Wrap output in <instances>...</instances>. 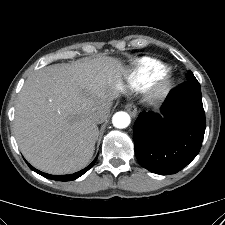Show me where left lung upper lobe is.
I'll list each match as a JSON object with an SVG mask.
<instances>
[{"label":"left lung upper lobe","mask_w":225,"mask_h":225,"mask_svg":"<svg viewBox=\"0 0 225 225\" xmlns=\"http://www.w3.org/2000/svg\"><path fill=\"white\" fill-rule=\"evenodd\" d=\"M186 78H187L188 82H191V83H194V84H199V82L197 81V79L195 78V76L193 75V73L191 71H189L187 73Z\"/></svg>","instance_id":"obj_1"}]
</instances>
